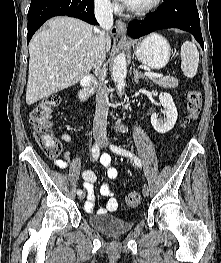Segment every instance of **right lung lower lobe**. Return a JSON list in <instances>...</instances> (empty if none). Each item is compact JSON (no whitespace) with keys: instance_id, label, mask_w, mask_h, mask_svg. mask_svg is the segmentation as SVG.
I'll use <instances>...</instances> for the list:
<instances>
[{"instance_id":"obj_1","label":"right lung lower lobe","mask_w":221,"mask_h":263,"mask_svg":"<svg viewBox=\"0 0 221 263\" xmlns=\"http://www.w3.org/2000/svg\"><path fill=\"white\" fill-rule=\"evenodd\" d=\"M58 15L79 18L97 25L93 0H32L28 11L27 43L46 20Z\"/></svg>"}]
</instances>
